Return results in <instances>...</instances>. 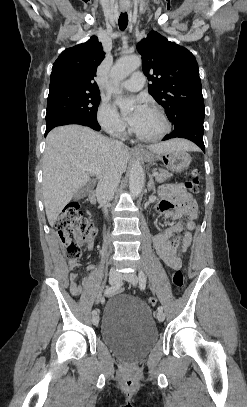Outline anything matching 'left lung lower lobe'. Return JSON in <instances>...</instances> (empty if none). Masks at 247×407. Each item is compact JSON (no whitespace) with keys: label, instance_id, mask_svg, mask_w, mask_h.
Returning a JSON list of instances; mask_svg holds the SVG:
<instances>
[{"label":"left lung lower lobe","instance_id":"left-lung-lower-lobe-1","mask_svg":"<svg viewBox=\"0 0 247 407\" xmlns=\"http://www.w3.org/2000/svg\"><path fill=\"white\" fill-rule=\"evenodd\" d=\"M203 122L204 114H187L174 123L173 132L165 136L163 140H168L176 137L185 138L197 144L203 150V152H205V146L203 142Z\"/></svg>","mask_w":247,"mask_h":407}]
</instances>
